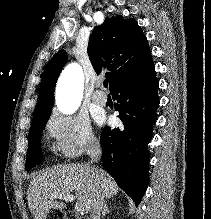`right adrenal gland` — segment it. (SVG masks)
Listing matches in <instances>:
<instances>
[{"instance_id": "obj_1", "label": "right adrenal gland", "mask_w": 211, "mask_h": 219, "mask_svg": "<svg viewBox=\"0 0 211 219\" xmlns=\"http://www.w3.org/2000/svg\"><path fill=\"white\" fill-rule=\"evenodd\" d=\"M110 213L109 207L107 204L104 205L103 211H102V217L104 218L107 214Z\"/></svg>"}]
</instances>
